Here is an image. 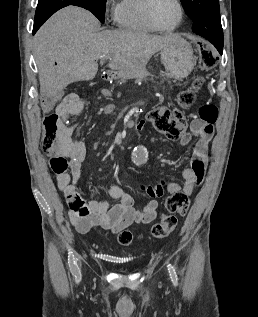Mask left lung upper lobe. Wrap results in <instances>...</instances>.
<instances>
[{
  "label": "left lung upper lobe",
  "mask_w": 258,
  "mask_h": 317,
  "mask_svg": "<svg viewBox=\"0 0 258 317\" xmlns=\"http://www.w3.org/2000/svg\"><path fill=\"white\" fill-rule=\"evenodd\" d=\"M187 15L194 22L192 29L200 27L222 28L218 0H180Z\"/></svg>",
  "instance_id": "5c2ea615"
}]
</instances>
